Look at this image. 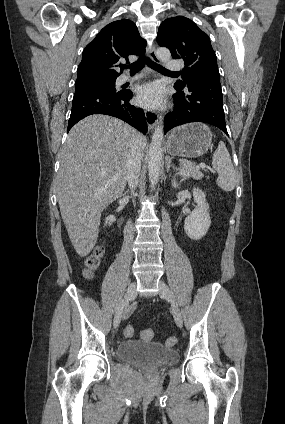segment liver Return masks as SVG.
Returning <instances> with one entry per match:
<instances>
[{
    "mask_svg": "<svg viewBox=\"0 0 285 424\" xmlns=\"http://www.w3.org/2000/svg\"><path fill=\"white\" fill-rule=\"evenodd\" d=\"M146 139L120 119L90 115L69 132L60 153L57 199L70 241L79 256L94 248L101 212L124 191L128 159Z\"/></svg>",
    "mask_w": 285,
    "mask_h": 424,
    "instance_id": "liver-1",
    "label": "liver"
}]
</instances>
